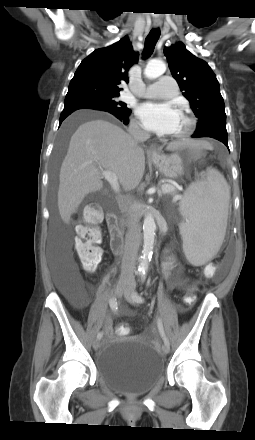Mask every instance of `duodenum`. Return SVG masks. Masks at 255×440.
Wrapping results in <instances>:
<instances>
[{"label": "duodenum", "mask_w": 255, "mask_h": 440, "mask_svg": "<svg viewBox=\"0 0 255 440\" xmlns=\"http://www.w3.org/2000/svg\"><path fill=\"white\" fill-rule=\"evenodd\" d=\"M106 222L110 233L112 250L116 255H119L122 252L123 237L118 228L116 214L109 212L106 216Z\"/></svg>", "instance_id": "duodenum-1"}]
</instances>
